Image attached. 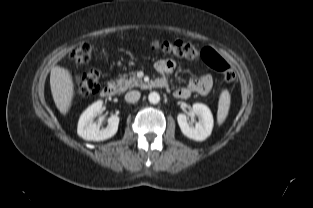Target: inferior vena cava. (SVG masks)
<instances>
[{"label":"inferior vena cava","instance_id":"inferior-vena-cava-1","mask_svg":"<svg viewBox=\"0 0 313 208\" xmlns=\"http://www.w3.org/2000/svg\"><path fill=\"white\" fill-rule=\"evenodd\" d=\"M140 96L141 94L139 91H130L126 93L125 100L129 103H135L140 99Z\"/></svg>","mask_w":313,"mask_h":208}]
</instances>
